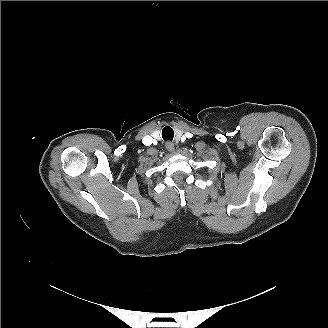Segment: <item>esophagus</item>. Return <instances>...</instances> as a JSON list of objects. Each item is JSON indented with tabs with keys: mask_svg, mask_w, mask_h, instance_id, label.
I'll return each instance as SVG.
<instances>
[{
	"mask_svg": "<svg viewBox=\"0 0 328 328\" xmlns=\"http://www.w3.org/2000/svg\"><path fill=\"white\" fill-rule=\"evenodd\" d=\"M165 147H166V149H167L168 151H170V152H172V151L175 150L174 144L171 143V142H167V143L165 144Z\"/></svg>",
	"mask_w": 328,
	"mask_h": 328,
	"instance_id": "esophagus-1",
	"label": "esophagus"
}]
</instances>
